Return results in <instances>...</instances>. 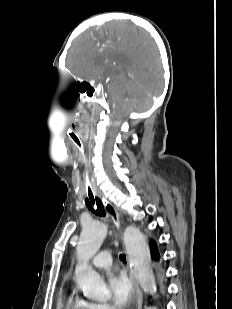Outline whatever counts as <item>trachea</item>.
<instances>
[{
	"mask_svg": "<svg viewBox=\"0 0 232 309\" xmlns=\"http://www.w3.org/2000/svg\"><path fill=\"white\" fill-rule=\"evenodd\" d=\"M70 138L72 139L75 146L78 148L82 155V160L84 163V178H85V190H86V199L85 204L87 208L94 213L97 216L104 217L106 215V212L104 210V206L102 201L99 199V197L96 195L92 181L89 175L88 167H87V158H86V150L84 143L81 139V137L74 131H71L69 133ZM120 260L123 262L126 261V256L124 254H120Z\"/></svg>",
	"mask_w": 232,
	"mask_h": 309,
	"instance_id": "3493384b",
	"label": "trachea"
}]
</instances>
